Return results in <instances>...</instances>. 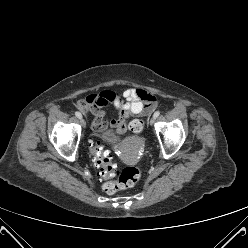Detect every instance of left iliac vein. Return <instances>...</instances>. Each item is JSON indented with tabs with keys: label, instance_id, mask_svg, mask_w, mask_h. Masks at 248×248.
Returning a JSON list of instances; mask_svg holds the SVG:
<instances>
[{
	"label": "left iliac vein",
	"instance_id": "obj_1",
	"mask_svg": "<svg viewBox=\"0 0 248 248\" xmlns=\"http://www.w3.org/2000/svg\"><path fill=\"white\" fill-rule=\"evenodd\" d=\"M155 119H156L155 117H152V118L150 119V121H149L150 125H153V124H154Z\"/></svg>",
	"mask_w": 248,
	"mask_h": 248
}]
</instances>
